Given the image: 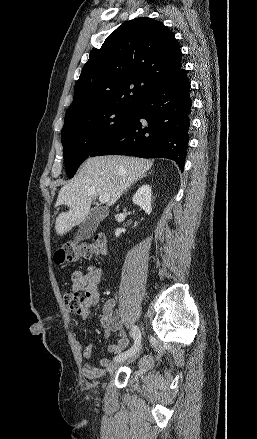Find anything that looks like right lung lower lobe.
<instances>
[{
	"instance_id": "right-lung-lower-lobe-1",
	"label": "right lung lower lobe",
	"mask_w": 257,
	"mask_h": 439,
	"mask_svg": "<svg viewBox=\"0 0 257 439\" xmlns=\"http://www.w3.org/2000/svg\"><path fill=\"white\" fill-rule=\"evenodd\" d=\"M190 83L186 71L150 92L131 119L102 141L89 156L128 155L168 158L183 171L188 148Z\"/></svg>"
}]
</instances>
